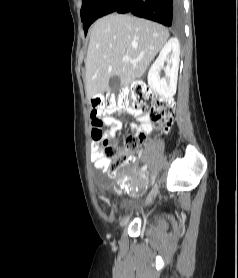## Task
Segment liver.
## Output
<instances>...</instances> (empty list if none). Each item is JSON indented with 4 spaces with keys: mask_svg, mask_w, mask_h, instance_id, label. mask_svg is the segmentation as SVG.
<instances>
[{
    "mask_svg": "<svg viewBox=\"0 0 238 278\" xmlns=\"http://www.w3.org/2000/svg\"><path fill=\"white\" fill-rule=\"evenodd\" d=\"M168 38L162 25L132 15L110 14L98 19L91 29L85 61L87 98L109 91L112 76L120 78L122 87L140 79ZM124 56L135 62L124 61Z\"/></svg>",
    "mask_w": 238,
    "mask_h": 278,
    "instance_id": "liver-1",
    "label": "liver"
}]
</instances>
